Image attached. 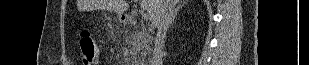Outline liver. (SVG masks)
I'll use <instances>...</instances> for the list:
<instances>
[{
	"mask_svg": "<svg viewBox=\"0 0 309 65\" xmlns=\"http://www.w3.org/2000/svg\"><path fill=\"white\" fill-rule=\"evenodd\" d=\"M178 3L181 7L186 3L183 0H141V8L146 10L151 23L156 26L162 12L167 6L174 8ZM78 7L82 10L85 9H101L114 11L121 16L124 11L128 10L129 3L127 0H81L78 2Z\"/></svg>",
	"mask_w": 309,
	"mask_h": 65,
	"instance_id": "liver-1",
	"label": "liver"
}]
</instances>
